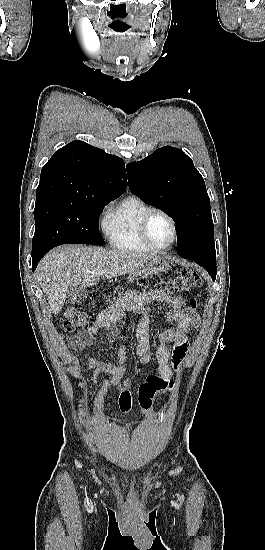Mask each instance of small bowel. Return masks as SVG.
I'll return each mask as SVG.
<instances>
[{
    "label": "small bowel",
    "instance_id": "obj_1",
    "mask_svg": "<svg viewBox=\"0 0 265 550\" xmlns=\"http://www.w3.org/2000/svg\"><path fill=\"white\" fill-rule=\"evenodd\" d=\"M153 303H160L167 307V319L176 324L175 327L162 331L159 334V345L155 351L150 348V326L152 320V309L149 306ZM184 303L179 297L164 296L156 290L140 292L129 290L115 303L105 309L96 318L95 323L87 330L74 335L68 340L71 350L82 351L93 342L94 336L104 330L109 339L114 341L117 338L116 323L127 312H135L140 315L136 325V355L141 364L148 363L153 357L158 364V373L169 384L165 393H171L174 389L173 376L179 371L188 355L189 346L187 336L197 323L194 313L184 310ZM69 361H75L72 353H67ZM126 349L120 344L117 352V362L111 363L99 358H90L82 372L105 373L110 377L102 382L97 389L96 400L99 408L107 392L111 387L119 390V408L123 413H130L132 410V398L130 390L132 382L125 379L126 373ZM94 382V380H93Z\"/></svg>",
    "mask_w": 265,
    "mask_h": 550
}]
</instances>
